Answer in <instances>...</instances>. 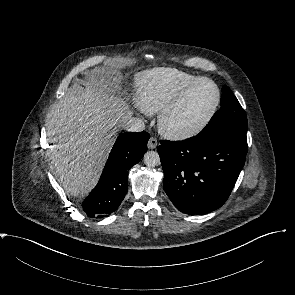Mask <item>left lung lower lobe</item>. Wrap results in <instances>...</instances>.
Here are the masks:
<instances>
[{
    "label": "left lung lower lobe",
    "instance_id": "left-lung-lower-lobe-1",
    "mask_svg": "<svg viewBox=\"0 0 295 295\" xmlns=\"http://www.w3.org/2000/svg\"><path fill=\"white\" fill-rule=\"evenodd\" d=\"M247 147V138L222 131L161 141L163 187L174 206L190 215L221 207L245 163Z\"/></svg>",
    "mask_w": 295,
    "mask_h": 295
}]
</instances>
